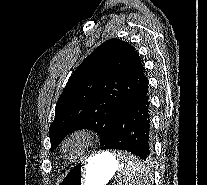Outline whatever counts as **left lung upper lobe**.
Returning <instances> with one entry per match:
<instances>
[{"label":"left lung upper lobe","instance_id":"left-lung-upper-lobe-1","mask_svg":"<svg viewBox=\"0 0 207 185\" xmlns=\"http://www.w3.org/2000/svg\"><path fill=\"white\" fill-rule=\"evenodd\" d=\"M148 83L135 49L117 38L97 47L70 76L49 129L51 150L79 129L95 130L100 146L122 107Z\"/></svg>","mask_w":207,"mask_h":185}]
</instances>
